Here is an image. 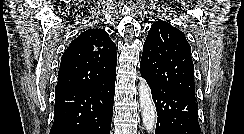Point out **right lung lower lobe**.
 <instances>
[{
	"label": "right lung lower lobe",
	"mask_w": 244,
	"mask_h": 134,
	"mask_svg": "<svg viewBox=\"0 0 244 134\" xmlns=\"http://www.w3.org/2000/svg\"><path fill=\"white\" fill-rule=\"evenodd\" d=\"M115 78L94 87L57 93L50 134H109Z\"/></svg>",
	"instance_id": "98d812e1"
}]
</instances>
